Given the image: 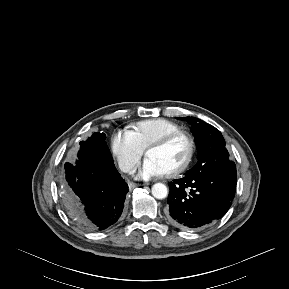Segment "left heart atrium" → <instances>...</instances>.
<instances>
[{"instance_id": "1", "label": "left heart atrium", "mask_w": 289, "mask_h": 289, "mask_svg": "<svg viewBox=\"0 0 289 289\" xmlns=\"http://www.w3.org/2000/svg\"><path fill=\"white\" fill-rule=\"evenodd\" d=\"M163 168L152 158L147 157L138 169V177L148 180L165 175Z\"/></svg>"}]
</instances>
